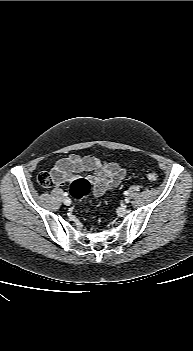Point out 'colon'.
Instances as JSON below:
<instances>
[{
  "label": "colon",
  "mask_w": 193,
  "mask_h": 351,
  "mask_svg": "<svg viewBox=\"0 0 193 351\" xmlns=\"http://www.w3.org/2000/svg\"><path fill=\"white\" fill-rule=\"evenodd\" d=\"M144 176L149 181H156L158 179V173L153 168H148L144 172ZM38 184L43 188H49L52 186L53 181L51 176L47 172H42L37 176ZM71 196L75 201L79 202L85 196L89 195L92 191V184L86 178L74 179L69 187Z\"/></svg>",
  "instance_id": "colon-1"
}]
</instances>
